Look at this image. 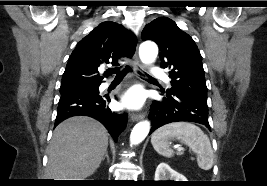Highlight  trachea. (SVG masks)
<instances>
[{"label": "trachea", "instance_id": "1", "mask_svg": "<svg viewBox=\"0 0 267 186\" xmlns=\"http://www.w3.org/2000/svg\"><path fill=\"white\" fill-rule=\"evenodd\" d=\"M111 73L116 74L115 78H122L123 74L120 72L119 68H114L109 70ZM149 78L153 79L151 76Z\"/></svg>", "mask_w": 267, "mask_h": 186}]
</instances>
